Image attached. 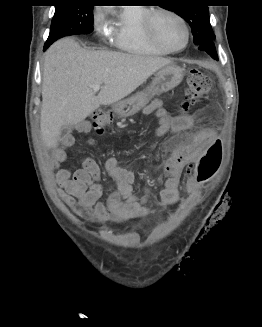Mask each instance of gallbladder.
I'll list each match as a JSON object with an SVG mask.
<instances>
[{
  "mask_svg": "<svg viewBox=\"0 0 262 327\" xmlns=\"http://www.w3.org/2000/svg\"><path fill=\"white\" fill-rule=\"evenodd\" d=\"M71 132V128L70 127H66L62 130V134L64 136H67L69 133Z\"/></svg>",
  "mask_w": 262,
  "mask_h": 327,
  "instance_id": "1",
  "label": "gallbladder"
}]
</instances>
